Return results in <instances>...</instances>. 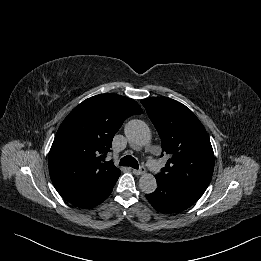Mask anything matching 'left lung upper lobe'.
<instances>
[{"label":"left lung upper lobe","mask_w":261,"mask_h":261,"mask_svg":"<svg viewBox=\"0 0 261 261\" xmlns=\"http://www.w3.org/2000/svg\"><path fill=\"white\" fill-rule=\"evenodd\" d=\"M169 159L155 177L205 191L214 170V153L207 132L193 112L167 98L141 100Z\"/></svg>","instance_id":"obj_1"}]
</instances>
